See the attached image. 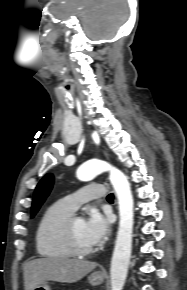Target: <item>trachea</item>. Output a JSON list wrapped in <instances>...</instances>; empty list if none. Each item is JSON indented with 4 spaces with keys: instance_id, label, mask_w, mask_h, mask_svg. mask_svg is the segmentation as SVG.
I'll return each instance as SVG.
<instances>
[{
    "instance_id": "obj_1",
    "label": "trachea",
    "mask_w": 187,
    "mask_h": 290,
    "mask_svg": "<svg viewBox=\"0 0 187 290\" xmlns=\"http://www.w3.org/2000/svg\"><path fill=\"white\" fill-rule=\"evenodd\" d=\"M114 199V195L111 193L107 196V200H113Z\"/></svg>"
}]
</instances>
